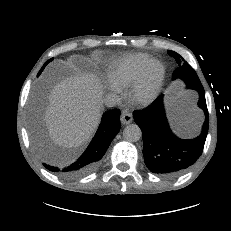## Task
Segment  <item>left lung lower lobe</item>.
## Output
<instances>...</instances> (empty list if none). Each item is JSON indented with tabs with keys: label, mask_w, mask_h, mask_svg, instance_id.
Wrapping results in <instances>:
<instances>
[{
	"label": "left lung lower lobe",
	"mask_w": 231,
	"mask_h": 231,
	"mask_svg": "<svg viewBox=\"0 0 231 231\" xmlns=\"http://www.w3.org/2000/svg\"><path fill=\"white\" fill-rule=\"evenodd\" d=\"M187 88L199 93L198 106L205 114L201 134L196 138L180 139L172 133L165 115L163 95L145 110L133 113L142 130L144 161L153 173L178 176L189 169L203 152L209 126L205 92L201 83L188 84Z\"/></svg>",
	"instance_id": "0a47b994"
}]
</instances>
